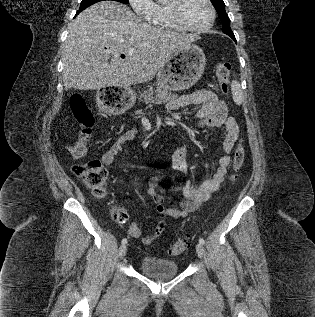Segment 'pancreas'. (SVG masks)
I'll use <instances>...</instances> for the list:
<instances>
[{
  "mask_svg": "<svg viewBox=\"0 0 315 317\" xmlns=\"http://www.w3.org/2000/svg\"><path fill=\"white\" fill-rule=\"evenodd\" d=\"M176 97L177 95L168 92L167 88L156 86V90H153V88L151 87L148 91L140 94L139 100H141V98H144L146 102L161 104L166 103L167 101Z\"/></svg>",
  "mask_w": 315,
  "mask_h": 317,
  "instance_id": "pancreas-1",
  "label": "pancreas"
}]
</instances>
